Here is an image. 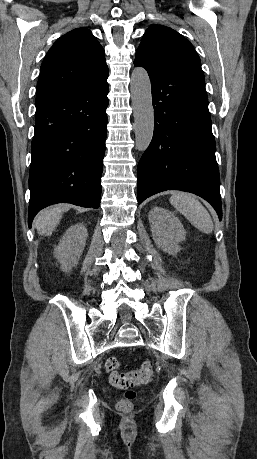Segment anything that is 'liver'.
Listing matches in <instances>:
<instances>
[{
  "label": "liver",
  "mask_w": 257,
  "mask_h": 459,
  "mask_svg": "<svg viewBox=\"0 0 257 459\" xmlns=\"http://www.w3.org/2000/svg\"><path fill=\"white\" fill-rule=\"evenodd\" d=\"M62 210V207L58 206L41 212L34 221L38 234H51L62 218Z\"/></svg>",
  "instance_id": "1"
}]
</instances>
